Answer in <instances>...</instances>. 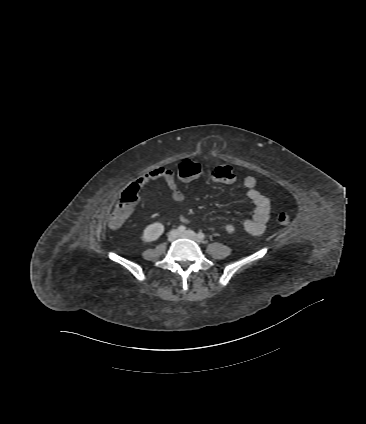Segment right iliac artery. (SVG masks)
I'll return each mask as SVG.
<instances>
[{"label": "right iliac artery", "instance_id": "1", "mask_svg": "<svg viewBox=\"0 0 366 424\" xmlns=\"http://www.w3.org/2000/svg\"><path fill=\"white\" fill-rule=\"evenodd\" d=\"M185 230H186V227L184 225H180L178 227V231H180V232H184Z\"/></svg>", "mask_w": 366, "mask_h": 424}]
</instances>
